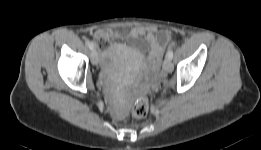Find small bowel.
<instances>
[{
    "label": "small bowel",
    "instance_id": "c3829d8e",
    "mask_svg": "<svg viewBox=\"0 0 261 150\" xmlns=\"http://www.w3.org/2000/svg\"><path fill=\"white\" fill-rule=\"evenodd\" d=\"M125 36L134 41L140 38L145 40L147 49L144 46H140L137 49H133L129 46L125 47L133 57L136 68L142 64L144 53L147 51L146 63L149 68V74L154 75L158 70L163 50L170 39V33L160 31L151 25L133 27L128 34L123 30L115 28L98 29L93 33L94 39L98 40V45L101 48H107L111 40Z\"/></svg>",
    "mask_w": 261,
    "mask_h": 150
}]
</instances>
